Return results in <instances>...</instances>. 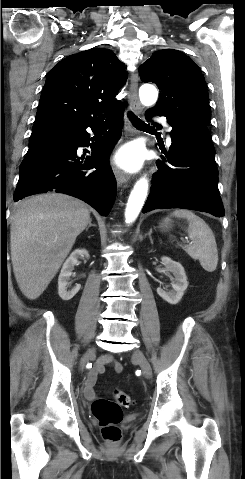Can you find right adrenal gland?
<instances>
[{
	"instance_id": "1",
	"label": "right adrenal gland",
	"mask_w": 245,
	"mask_h": 479,
	"mask_svg": "<svg viewBox=\"0 0 245 479\" xmlns=\"http://www.w3.org/2000/svg\"><path fill=\"white\" fill-rule=\"evenodd\" d=\"M91 226H96L95 224H92L91 222L89 223L88 227L86 228V231H88V229L91 227Z\"/></svg>"
}]
</instances>
